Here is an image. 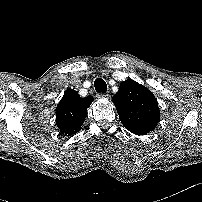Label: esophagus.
<instances>
[{"label":"esophagus","mask_w":202,"mask_h":202,"mask_svg":"<svg viewBox=\"0 0 202 202\" xmlns=\"http://www.w3.org/2000/svg\"><path fill=\"white\" fill-rule=\"evenodd\" d=\"M96 97H97L98 99H102V98H107V99H109V98H110V95H109V94H104V93H97V94H96Z\"/></svg>","instance_id":"34e87169"}]
</instances>
